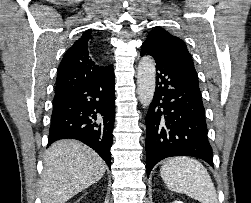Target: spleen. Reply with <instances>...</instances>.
I'll return each instance as SVG.
<instances>
[{
	"mask_svg": "<svg viewBox=\"0 0 251 203\" xmlns=\"http://www.w3.org/2000/svg\"><path fill=\"white\" fill-rule=\"evenodd\" d=\"M160 175L167 187L202 203H218L217 193L207 169L190 157L166 160Z\"/></svg>",
	"mask_w": 251,
	"mask_h": 203,
	"instance_id": "obj_1",
	"label": "spleen"
}]
</instances>
